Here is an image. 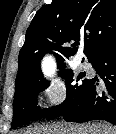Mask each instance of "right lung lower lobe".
Returning a JSON list of instances; mask_svg holds the SVG:
<instances>
[{
	"mask_svg": "<svg viewBox=\"0 0 116 134\" xmlns=\"http://www.w3.org/2000/svg\"><path fill=\"white\" fill-rule=\"evenodd\" d=\"M99 77L91 78L77 101L50 118L70 122L105 120L116 125V42L89 61Z\"/></svg>",
	"mask_w": 116,
	"mask_h": 134,
	"instance_id": "1",
	"label": "right lung lower lobe"
}]
</instances>
